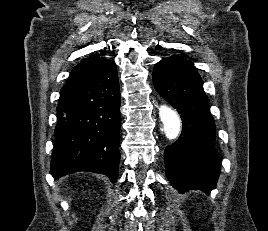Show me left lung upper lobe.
<instances>
[{"label": "left lung upper lobe", "mask_w": 268, "mask_h": 231, "mask_svg": "<svg viewBox=\"0 0 268 231\" xmlns=\"http://www.w3.org/2000/svg\"><path fill=\"white\" fill-rule=\"evenodd\" d=\"M172 57H174V58H178V59H182V60H185V61L191 63L190 61H188V60H186V59H184V58H182V57H179V56H172ZM191 64H192V63H191Z\"/></svg>", "instance_id": "1"}]
</instances>
